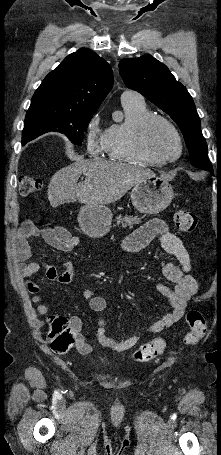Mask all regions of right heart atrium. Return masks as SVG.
Wrapping results in <instances>:
<instances>
[{"mask_svg": "<svg viewBox=\"0 0 221 455\" xmlns=\"http://www.w3.org/2000/svg\"><path fill=\"white\" fill-rule=\"evenodd\" d=\"M106 130L101 125L99 113L89 119L85 128V144L90 153L99 154L104 151Z\"/></svg>", "mask_w": 221, "mask_h": 455, "instance_id": "d8ad5b80", "label": "right heart atrium"}]
</instances>
